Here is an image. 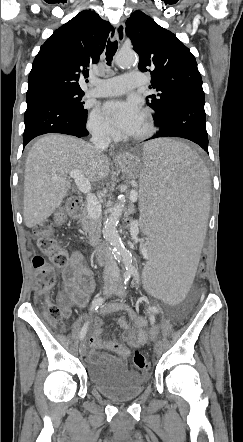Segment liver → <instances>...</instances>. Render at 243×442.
Segmentation results:
<instances>
[{
    "mask_svg": "<svg viewBox=\"0 0 243 442\" xmlns=\"http://www.w3.org/2000/svg\"><path fill=\"white\" fill-rule=\"evenodd\" d=\"M109 168V158L97 157L94 146L86 141L60 134L38 139L25 165V225L41 224L61 205L71 187L67 179L71 170L81 171L89 182H98L108 176ZM55 176L58 179H53Z\"/></svg>",
    "mask_w": 243,
    "mask_h": 442,
    "instance_id": "6515ba94",
    "label": "liver"
}]
</instances>
